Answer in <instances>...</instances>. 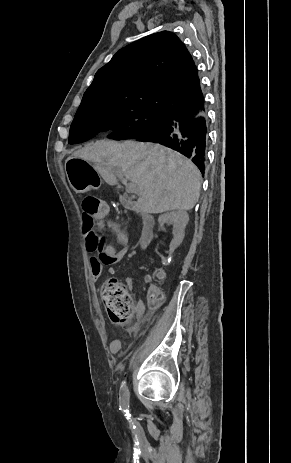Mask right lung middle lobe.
Instances as JSON below:
<instances>
[{"label":"right lung middle lobe","instance_id":"dd1d6c3e","mask_svg":"<svg viewBox=\"0 0 291 463\" xmlns=\"http://www.w3.org/2000/svg\"><path fill=\"white\" fill-rule=\"evenodd\" d=\"M165 114L127 101L108 102L78 109L70 127L69 143H81L99 132L114 130L115 140L135 139L160 126Z\"/></svg>","mask_w":291,"mask_h":463}]
</instances>
